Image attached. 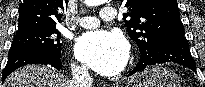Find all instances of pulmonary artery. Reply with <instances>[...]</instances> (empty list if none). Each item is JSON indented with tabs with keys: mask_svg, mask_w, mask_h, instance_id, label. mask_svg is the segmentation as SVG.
<instances>
[{
	"mask_svg": "<svg viewBox=\"0 0 205 87\" xmlns=\"http://www.w3.org/2000/svg\"><path fill=\"white\" fill-rule=\"evenodd\" d=\"M116 11L111 7H103L100 11V18L112 22L116 19ZM100 19L94 16H85L79 19V25L83 28H95L99 26Z\"/></svg>",
	"mask_w": 205,
	"mask_h": 87,
	"instance_id": "obj_1",
	"label": "pulmonary artery"
}]
</instances>
